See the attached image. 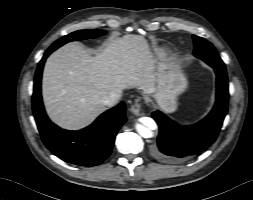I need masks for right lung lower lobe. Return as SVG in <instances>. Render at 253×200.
I'll list each match as a JSON object with an SVG mask.
<instances>
[{"instance_id":"right-lung-lower-lobe-1","label":"right lung lower lobe","mask_w":253,"mask_h":200,"mask_svg":"<svg viewBox=\"0 0 253 200\" xmlns=\"http://www.w3.org/2000/svg\"><path fill=\"white\" fill-rule=\"evenodd\" d=\"M56 49L49 48L45 52L35 73L32 104L42 141L53 154L68 163L99 165L110 155L116 134L127 120L125 104L121 102L109 109L79 131L63 130L52 123L42 103L41 77L46 58Z\"/></svg>"}]
</instances>
